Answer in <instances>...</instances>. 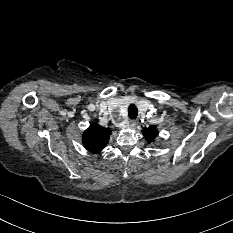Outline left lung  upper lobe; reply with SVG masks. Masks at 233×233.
<instances>
[{
  "mask_svg": "<svg viewBox=\"0 0 233 233\" xmlns=\"http://www.w3.org/2000/svg\"><path fill=\"white\" fill-rule=\"evenodd\" d=\"M142 133L145 136L146 140L148 142H151L154 140L155 136L158 134V131L156 130L155 126H151L149 128H144L142 130Z\"/></svg>",
  "mask_w": 233,
  "mask_h": 233,
  "instance_id": "left-lung-upper-lobe-1",
  "label": "left lung upper lobe"
}]
</instances>
